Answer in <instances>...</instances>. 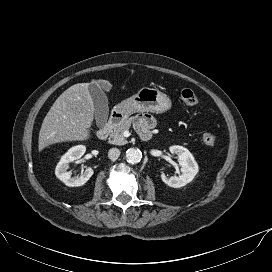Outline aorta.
<instances>
[{"label": "aorta", "mask_w": 272, "mask_h": 272, "mask_svg": "<svg viewBox=\"0 0 272 272\" xmlns=\"http://www.w3.org/2000/svg\"><path fill=\"white\" fill-rule=\"evenodd\" d=\"M142 153L134 148H129L126 151V159L131 164H137L141 161Z\"/></svg>", "instance_id": "aorta-1"}]
</instances>
